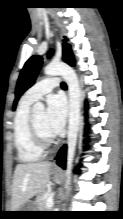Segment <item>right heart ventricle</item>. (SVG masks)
<instances>
[{
    "label": "right heart ventricle",
    "instance_id": "obj_1",
    "mask_svg": "<svg viewBox=\"0 0 123 219\" xmlns=\"http://www.w3.org/2000/svg\"><path fill=\"white\" fill-rule=\"evenodd\" d=\"M32 102L21 99L14 119V141L21 162L33 163L42 158L43 150L34 141L30 119Z\"/></svg>",
    "mask_w": 123,
    "mask_h": 219
}]
</instances>
